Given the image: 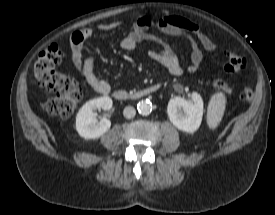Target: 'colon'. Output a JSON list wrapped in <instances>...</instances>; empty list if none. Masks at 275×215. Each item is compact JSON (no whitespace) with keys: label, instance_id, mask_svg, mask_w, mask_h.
Segmentation results:
<instances>
[{"label":"colon","instance_id":"1","mask_svg":"<svg viewBox=\"0 0 275 215\" xmlns=\"http://www.w3.org/2000/svg\"><path fill=\"white\" fill-rule=\"evenodd\" d=\"M63 52L57 46L43 50L33 66V74L38 83L46 90L55 93L48 102V110L66 119L72 115L82 98V88L77 80L67 76L56 67L63 61ZM247 61L235 52L226 53L223 68L228 73H237L245 69ZM213 85L217 88H226V83L221 79H214ZM253 89L244 87L240 91L241 99L248 101L253 98Z\"/></svg>","mask_w":275,"mask_h":215}]
</instances>
